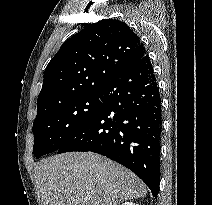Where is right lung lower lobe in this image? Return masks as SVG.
<instances>
[{"label": "right lung lower lobe", "instance_id": "right-lung-lower-lobe-1", "mask_svg": "<svg viewBox=\"0 0 212 205\" xmlns=\"http://www.w3.org/2000/svg\"><path fill=\"white\" fill-rule=\"evenodd\" d=\"M102 103L58 150L91 151L132 170L157 197L160 182L161 98L148 55L101 90Z\"/></svg>", "mask_w": 212, "mask_h": 205}]
</instances>
